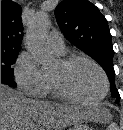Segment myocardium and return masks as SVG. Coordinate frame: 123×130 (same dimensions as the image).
I'll list each match as a JSON object with an SVG mask.
<instances>
[{
	"instance_id": "1",
	"label": "myocardium",
	"mask_w": 123,
	"mask_h": 130,
	"mask_svg": "<svg viewBox=\"0 0 123 130\" xmlns=\"http://www.w3.org/2000/svg\"><path fill=\"white\" fill-rule=\"evenodd\" d=\"M77 61H84L87 62L89 64H91L92 66H94L99 73L101 74L102 78H103V82H104V90L102 92V94L94 99H84V98H80L75 96L66 86L63 78L58 75V74H54V73H50L51 75V79L53 82V85L57 91V93L59 94V96L67 101L70 102H74V103H80V104H94V103H98L100 101H102L108 91H109V80L107 77V74L105 72V70L93 59L85 56V55H81V54H70V55H66L60 58L59 62L61 64V66L66 69L68 67H70L73 63L77 62Z\"/></svg>"
}]
</instances>
